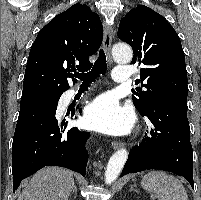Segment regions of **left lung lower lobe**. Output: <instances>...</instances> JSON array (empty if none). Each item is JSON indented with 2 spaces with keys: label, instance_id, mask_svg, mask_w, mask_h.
<instances>
[{
  "label": "left lung lower lobe",
  "instance_id": "0a47b994",
  "mask_svg": "<svg viewBox=\"0 0 201 200\" xmlns=\"http://www.w3.org/2000/svg\"><path fill=\"white\" fill-rule=\"evenodd\" d=\"M153 125L150 136L133 147L121 177L148 169L173 172L194 188L193 150L187 119V98L167 96L154 100L141 113Z\"/></svg>",
  "mask_w": 201,
  "mask_h": 200
}]
</instances>
